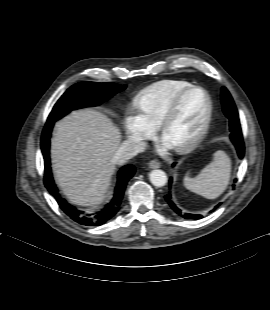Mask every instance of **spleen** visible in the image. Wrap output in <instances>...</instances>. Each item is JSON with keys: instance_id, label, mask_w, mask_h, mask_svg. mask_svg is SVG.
Returning <instances> with one entry per match:
<instances>
[{"instance_id": "obj_1", "label": "spleen", "mask_w": 270, "mask_h": 310, "mask_svg": "<svg viewBox=\"0 0 270 310\" xmlns=\"http://www.w3.org/2000/svg\"><path fill=\"white\" fill-rule=\"evenodd\" d=\"M231 176V160L224 151L213 154V161L195 177L184 179L185 187L207 199H216L227 188Z\"/></svg>"}]
</instances>
